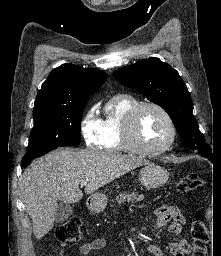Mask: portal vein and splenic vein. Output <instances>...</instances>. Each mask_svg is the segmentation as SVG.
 <instances>
[{
	"label": "portal vein and splenic vein",
	"mask_w": 221,
	"mask_h": 256,
	"mask_svg": "<svg viewBox=\"0 0 221 256\" xmlns=\"http://www.w3.org/2000/svg\"><path fill=\"white\" fill-rule=\"evenodd\" d=\"M86 184H87V181H82V182L80 183L81 186H85Z\"/></svg>",
	"instance_id": "18ae733b"
}]
</instances>
